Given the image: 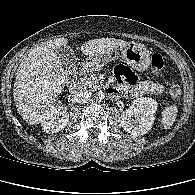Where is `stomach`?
Here are the masks:
<instances>
[{
  "instance_id": "0dacf381",
  "label": "stomach",
  "mask_w": 195,
  "mask_h": 195,
  "mask_svg": "<svg viewBox=\"0 0 195 195\" xmlns=\"http://www.w3.org/2000/svg\"><path fill=\"white\" fill-rule=\"evenodd\" d=\"M121 58L124 62L137 71H144L150 65V52L140 43L130 42L120 47ZM118 57V51L113 50L104 57H92L89 59V66L92 70L101 69L107 62Z\"/></svg>"
}]
</instances>
